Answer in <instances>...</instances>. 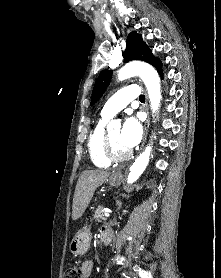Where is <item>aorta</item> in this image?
<instances>
[{
    "mask_svg": "<svg viewBox=\"0 0 221 278\" xmlns=\"http://www.w3.org/2000/svg\"><path fill=\"white\" fill-rule=\"evenodd\" d=\"M139 75L147 87L152 112L155 113L160 104V78L157 71L149 64L141 61L127 63L118 71V80L123 81ZM152 147L147 146L130 167L127 183L135 182L147 167Z\"/></svg>",
    "mask_w": 221,
    "mask_h": 278,
    "instance_id": "762f6f07",
    "label": "aorta"
}]
</instances>
